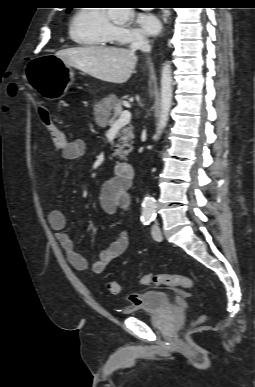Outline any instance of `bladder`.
Returning <instances> with one entry per match:
<instances>
[{
    "label": "bladder",
    "instance_id": "obj_1",
    "mask_svg": "<svg viewBox=\"0 0 255 387\" xmlns=\"http://www.w3.org/2000/svg\"><path fill=\"white\" fill-rule=\"evenodd\" d=\"M140 303L136 306H129L124 309L125 314L139 315L148 314L154 315L163 310L173 307L170 295L162 291H148L139 295Z\"/></svg>",
    "mask_w": 255,
    "mask_h": 387
}]
</instances>
